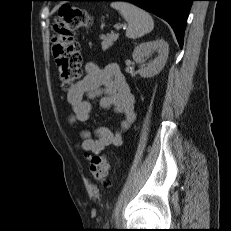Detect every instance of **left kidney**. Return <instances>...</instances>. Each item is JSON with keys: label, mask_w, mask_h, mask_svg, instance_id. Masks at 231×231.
Masks as SVG:
<instances>
[{"label": "left kidney", "mask_w": 231, "mask_h": 231, "mask_svg": "<svg viewBox=\"0 0 231 231\" xmlns=\"http://www.w3.org/2000/svg\"><path fill=\"white\" fill-rule=\"evenodd\" d=\"M155 51L158 53V56L147 65L143 64L144 59ZM168 53V43L162 39H157L138 45L134 49L132 56L133 60L140 64V75L148 78L157 75L163 69L168 58Z\"/></svg>", "instance_id": "1"}]
</instances>
